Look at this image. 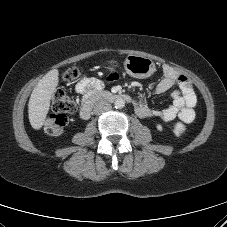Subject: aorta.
<instances>
[{"instance_id":"obj_1","label":"aorta","mask_w":227,"mask_h":227,"mask_svg":"<svg viewBox=\"0 0 227 227\" xmlns=\"http://www.w3.org/2000/svg\"><path fill=\"white\" fill-rule=\"evenodd\" d=\"M114 105H115V108L121 109L125 106V101L121 98L116 99L115 102H114Z\"/></svg>"}]
</instances>
